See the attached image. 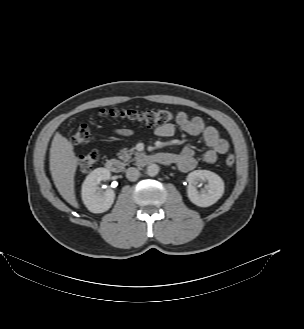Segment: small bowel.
Segmentation results:
<instances>
[{"label":"small bowel","instance_id":"obj_1","mask_svg":"<svg viewBox=\"0 0 304 329\" xmlns=\"http://www.w3.org/2000/svg\"><path fill=\"white\" fill-rule=\"evenodd\" d=\"M175 123H167L155 129L156 135L159 137H171L176 132L178 126L191 137L201 136L207 150L200 156H197L193 146L187 144L181 152L171 154L173 157V164L183 172L193 170L199 162L205 164H213L219 155L225 154L229 150V143L227 140L219 135L218 130L206 125L204 120L199 116L189 117L184 111L175 112ZM131 130L127 128H120L114 131V134L119 137H128L131 135Z\"/></svg>","mask_w":304,"mask_h":329}]
</instances>
